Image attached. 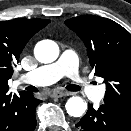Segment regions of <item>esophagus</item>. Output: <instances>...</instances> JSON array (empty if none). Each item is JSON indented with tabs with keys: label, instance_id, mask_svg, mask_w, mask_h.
Listing matches in <instances>:
<instances>
[{
	"label": "esophagus",
	"instance_id": "esophagus-1",
	"mask_svg": "<svg viewBox=\"0 0 131 131\" xmlns=\"http://www.w3.org/2000/svg\"><path fill=\"white\" fill-rule=\"evenodd\" d=\"M72 93L70 92H66V91H54L51 96L52 97H55V98H61V97H64V96H69L71 95Z\"/></svg>",
	"mask_w": 131,
	"mask_h": 131
}]
</instances>
